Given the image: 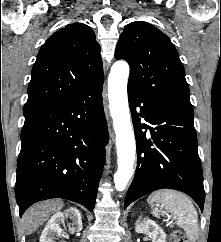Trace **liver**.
I'll return each instance as SVG.
<instances>
[{
    "instance_id": "6515ba94",
    "label": "liver",
    "mask_w": 221,
    "mask_h": 242,
    "mask_svg": "<svg viewBox=\"0 0 221 242\" xmlns=\"http://www.w3.org/2000/svg\"><path fill=\"white\" fill-rule=\"evenodd\" d=\"M63 207L61 200H47L30 207L23 215L22 221L28 235L43 225L49 217Z\"/></svg>"
}]
</instances>
